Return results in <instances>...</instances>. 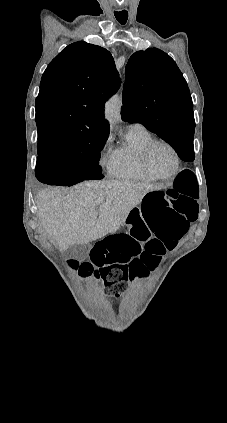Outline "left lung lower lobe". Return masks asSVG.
I'll use <instances>...</instances> for the list:
<instances>
[{
    "label": "left lung lower lobe",
    "instance_id": "0a47b994",
    "mask_svg": "<svg viewBox=\"0 0 227 423\" xmlns=\"http://www.w3.org/2000/svg\"><path fill=\"white\" fill-rule=\"evenodd\" d=\"M183 161L194 160L193 141L178 140L171 145Z\"/></svg>",
    "mask_w": 227,
    "mask_h": 423
}]
</instances>
